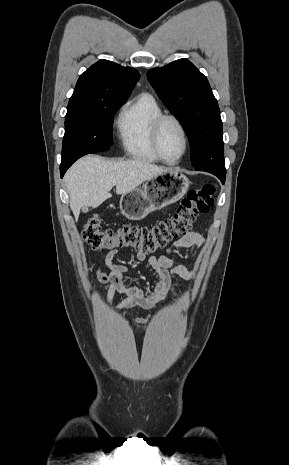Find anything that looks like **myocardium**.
Returning a JSON list of instances; mask_svg holds the SVG:
<instances>
[{
  "label": "myocardium",
  "mask_w": 289,
  "mask_h": 465,
  "mask_svg": "<svg viewBox=\"0 0 289 465\" xmlns=\"http://www.w3.org/2000/svg\"><path fill=\"white\" fill-rule=\"evenodd\" d=\"M166 121L174 122L179 127V129H180V131H181V133L183 135V139H184L183 152L180 154L179 157H177L174 160L167 159L163 155L162 150H161V144H160L161 132H162L163 125H164V123ZM151 141H152L153 150H154L155 154L157 155V157L161 161H163L164 163H167V164H176V163H178L186 155V153H187V151L189 149V143H190L187 129L184 126V124L182 123V121L178 117H176L175 115L165 114V113L160 114L154 120L153 125H152V131H151Z\"/></svg>",
  "instance_id": "obj_1"
}]
</instances>
